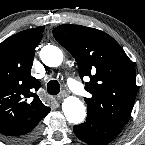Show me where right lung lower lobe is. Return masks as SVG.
I'll list each match as a JSON object with an SVG mask.
<instances>
[{"instance_id": "1", "label": "right lung lower lobe", "mask_w": 145, "mask_h": 145, "mask_svg": "<svg viewBox=\"0 0 145 145\" xmlns=\"http://www.w3.org/2000/svg\"><path fill=\"white\" fill-rule=\"evenodd\" d=\"M49 112H50V109L47 112V114ZM38 123H35L34 125L27 127V128L20 130V131L3 132L0 134H1L2 138L7 139V140H14V141L30 140V139L34 138L38 132Z\"/></svg>"}]
</instances>
